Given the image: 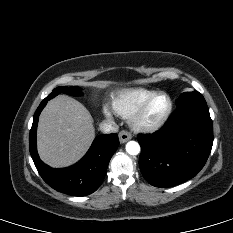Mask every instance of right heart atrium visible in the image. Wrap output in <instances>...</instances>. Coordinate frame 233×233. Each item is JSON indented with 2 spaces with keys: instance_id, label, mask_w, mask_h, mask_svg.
Listing matches in <instances>:
<instances>
[{
  "instance_id": "right-heart-atrium-1",
  "label": "right heart atrium",
  "mask_w": 233,
  "mask_h": 233,
  "mask_svg": "<svg viewBox=\"0 0 233 233\" xmlns=\"http://www.w3.org/2000/svg\"><path fill=\"white\" fill-rule=\"evenodd\" d=\"M105 114H106L107 116H110V113H109V111H108L107 109H105Z\"/></svg>"
}]
</instances>
